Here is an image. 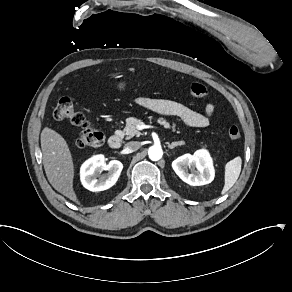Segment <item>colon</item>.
Wrapping results in <instances>:
<instances>
[{
    "label": "colon",
    "instance_id": "5ec220e1",
    "mask_svg": "<svg viewBox=\"0 0 292 292\" xmlns=\"http://www.w3.org/2000/svg\"><path fill=\"white\" fill-rule=\"evenodd\" d=\"M190 92L193 96L201 99H205L208 96L207 88L201 83H193L190 87ZM53 115L58 120H67L73 125L84 128L74 137L75 147H96L103 143V132L91 126V122L84 112L69 97H62L58 100ZM228 136L232 141L238 140L240 138L239 127L231 125L228 129Z\"/></svg>",
    "mask_w": 292,
    "mask_h": 292
}]
</instances>
